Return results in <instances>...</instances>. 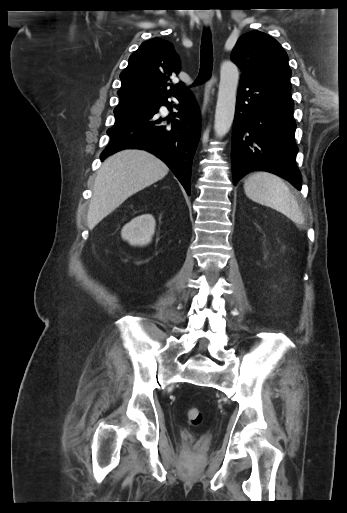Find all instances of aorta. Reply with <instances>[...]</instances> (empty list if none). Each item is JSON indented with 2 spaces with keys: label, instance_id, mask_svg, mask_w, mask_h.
I'll use <instances>...</instances> for the list:
<instances>
[{
  "label": "aorta",
  "instance_id": "obj_1",
  "mask_svg": "<svg viewBox=\"0 0 347 513\" xmlns=\"http://www.w3.org/2000/svg\"><path fill=\"white\" fill-rule=\"evenodd\" d=\"M239 81L238 67L224 61L220 68V82L216 104L214 131L218 137L225 136L233 123Z\"/></svg>",
  "mask_w": 347,
  "mask_h": 513
}]
</instances>
